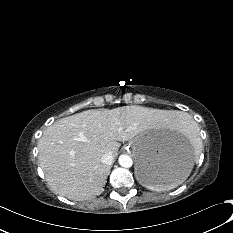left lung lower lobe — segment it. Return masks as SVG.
<instances>
[{
  "mask_svg": "<svg viewBox=\"0 0 233 233\" xmlns=\"http://www.w3.org/2000/svg\"><path fill=\"white\" fill-rule=\"evenodd\" d=\"M140 177L147 183L160 184L165 183L171 177V173L167 170L144 166L141 169Z\"/></svg>",
  "mask_w": 233,
  "mask_h": 233,
  "instance_id": "1",
  "label": "left lung lower lobe"
}]
</instances>
